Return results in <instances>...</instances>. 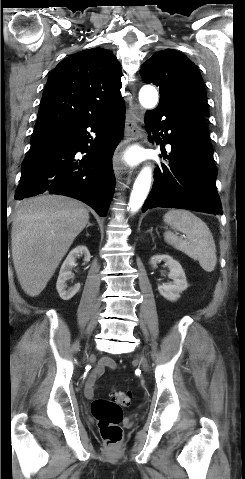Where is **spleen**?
I'll return each instance as SVG.
<instances>
[{
  "label": "spleen",
  "mask_w": 245,
  "mask_h": 479,
  "mask_svg": "<svg viewBox=\"0 0 245 479\" xmlns=\"http://www.w3.org/2000/svg\"><path fill=\"white\" fill-rule=\"evenodd\" d=\"M164 222L187 237L183 240L173 232L167 231L164 233L165 241L193 260H197L206 272H212L217 263L216 246L207 224L193 213L178 209L168 211L164 215Z\"/></svg>",
  "instance_id": "spleen-1"
}]
</instances>
